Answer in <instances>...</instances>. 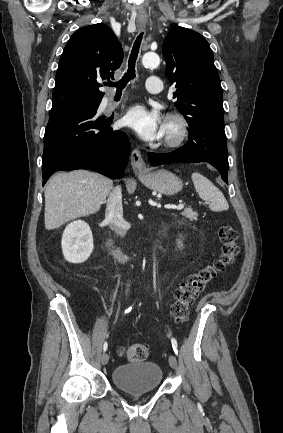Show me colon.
Returning a JSON list of instances; mask_svg holds the SVG:
<instances>
[{"instance_id":"obj_1","label":"colon","mask_w":283,"mask_h":433,"mask_svg":"<svg viewBox=\"0 0 283 433\" xmlns=\"http://www.w3.org/2000/svg\"><path fill=\"white\" fill-rule=\"evenodd\" d=\"M218 237L221 243L220 255L210 264L191 274L175 291V300L171 306V314L178 324H183L187 320L190 306L198 295L207 284L214 280L235 260L239 253L238 232L233 226L228 224L221 225L218 228ZM121 353L129 361H142L149 356L150 347L145 343H135L123 347Z\"/></svg>"}]
</instances>
